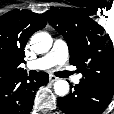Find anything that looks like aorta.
<instances>
[{"mask_svg": "<svg viewBox=\"0 0 114 114\" xmlns=\"http://www.w3.org/2000/svg\"><path fill=\"white\" fill-rule=\"evenodd\" d=\"M52 38L48 33L40 32L32 36V48L37 53H45L52 47ZM54 91L59 96H65L69 92V83L65 80H58L54 83Z\"/></svg>", "mask_w": 114, "mask_h": 114, "instance_id": "1", "label": "aorta"}]
</instances>
